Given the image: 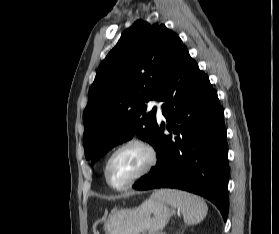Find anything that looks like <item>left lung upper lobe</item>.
<instances>
[{
  "label": "left lung upper lobe",
  "instance_id": "left-lung-upper-lobe-1",
  "mask_svg": "<svg viewBox=\"0 0 279 234\" xmlns=\"http://www.w3.org/2000/svg\"><path fill=\"white\" fill-rule=\"evenodd\" d=\"M176 33L159 23L137 20L126 29L97 70L83 113V145L94 163L115 145L135 134L153 147L156 108L144 104L158 100L162 84L181 48Z\"/></svg>",
  "mask_w": 279,
  "mask_h": 234
}]
</instances>
